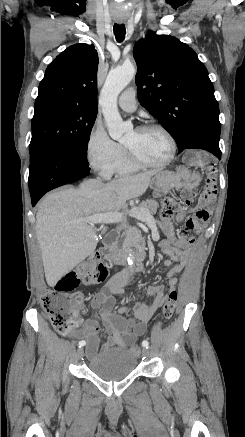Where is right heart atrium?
I'll list each match as a JSON object with an SVG mask.
<instances>
[{
  "mask_svg": "<svg viewBox=\"0 0 245 437\" xmlns=\"http://www.w3.org/2000/svg\"><path fill=\"white\" fill-rule=\"evenodd\" d=\"M85 153L94 170L109 176L122 154V147L109 137L99 121H95L87 137Z\"/></svg>",
  "mask_w": 245,
  "mask_h": 437,
  "instance_id": "obj_1",
  "label": "right heart atrium"
}]
</instances>
